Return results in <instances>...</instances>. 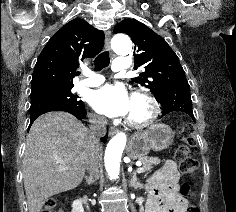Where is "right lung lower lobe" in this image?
Returning a JSON list of instances; mask_svg holds the SVG:
<instances>
[{"instance_id":"right-lung-lower-lobe-1","label":"right lung lower lobe","mask_w":236,"mask_h":212,"mask_svg":"<svg viewBox=\"0 0 236 212\" xmlns=\"http://www.w3.org/2000/svg\"><path fill=\"white\" fill-rule=\"evenodd\" d=\"M30 125L35 121L37 117L40 115L51 112V111H65L73 114L79 120H82L86 117V109L84 104L82 105H70L67 103H62L59 101H54L45 98H34L31 99L30 106ZM107 139V135L101 138L102 142H105Z\"/></svg>"}]
</instances>
